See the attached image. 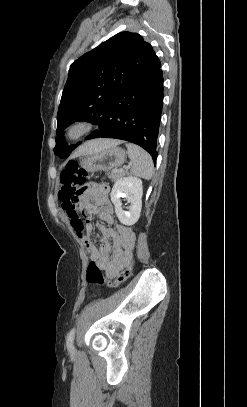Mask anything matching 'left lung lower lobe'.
I'll return each instance as SVG.
<instances>
[{"instance_id": "1", "label": "left lung lower lobe", "mask_w": 247, "mask_h": 407, "mask_svg": "<svg viewBox=\"0 0 247 407\" xmlns=\"http://www.w3.org/2000/svg\"><path fill=\"white\" fill-rule=\"evenodd\" d=\"M163 74L156 54L119 92L99 124L87 139L115 138L145 149L156 163V142L163 105Z\"/></svg>"}]
</instances>
